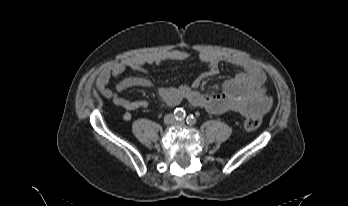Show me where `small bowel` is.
Segmentation results:
<instances>
[{
  "instance_id": "1",
  "label": "small bowel",
  "mask_w": 348,
  "mask_h": 206,
  "mask_svg": "<svg viewBox=\"0 0 348 206\" xmlns=\"http://www.w3.org/2000/svg\"><path fill=\"white\" fill-rule=\"evenodd\" d=\"M188 53L183 50H173L157 53L137 54L112 63L100 72L96 81L99 94L110 100L114 105L123 109L122 118L129 121L132 112L146 108L145 100H128L120 96V92L131 87H152L153 82L144 76H132L120 79L115 89L109 86L112 77H119L126 68L144 72L146 65H160L167 61H183ZM199 59L207 65V71L201 78L216 75L222 62H228L241 68V71L224 83L222 94L205 95L199 91L200 80L197 79L191 86L161 87L158 93L169 106L178 105L183 99L193 106L214 114L233 112L247 117L261 115L272 107V99L267 95L265 87L266 76L263 70L254 62L240 56H222L202 51Z\"/></svg>"
}]
</instances>
